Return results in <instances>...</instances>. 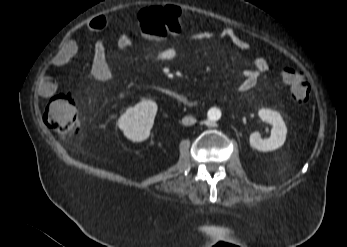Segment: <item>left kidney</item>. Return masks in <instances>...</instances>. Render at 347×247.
Returning <instances> with one entry per match:
<instances>
[{
    "label": "left kidney",
    "mask_w": 347,
    "mask_h": 247,
    "mask_svg": "<svg viewBox=\"0 0 347 247\" xmlns=\"http://www.w3.org/2000/svg\"><path fill=\"white\" fill-rule=\"evenodd\" d=\"M262 121L269 122L273 125L269 138L262 139L258 132L250 135V145L262 152L273 151L281 147L287 135V127L280 113L271 109H260L258 112Z\"/></svg>",
    "instance_id": "obj_1"
}]
</instances>
